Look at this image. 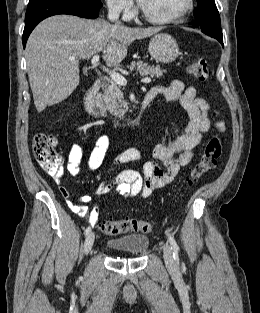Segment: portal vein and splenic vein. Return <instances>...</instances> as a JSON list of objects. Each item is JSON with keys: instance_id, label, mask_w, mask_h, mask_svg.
Returning a JSON list of instances; mask_svg holds the SVG:
<instances>
[{"instance_id": "1", "label": "portal vein and splenic vein", "mask_w": 260, "mask_h": 313, "mask_svg": "<svg viewBox=\"0 0 260 313\" xmlns=\"http://www.w3.org/2000/svg\"><path fill=\"white\" fill-rule=\"evenodd\" d=\"M99 58L100 56L98 54L94 55L91 59V63L94 65V66H97L98 65V62H99ZM75 58H71V60H74ZM103 70L105 72H107L110 77L112 78V80L117 83L118 85H121V86H125L127 84V80L120 74V73H117L115 71H110L108 68H105L103 67ZM141 82L143 83H150L151 82V79L150 78H143L141 80Z\"/></svg>"}]
</instances>
